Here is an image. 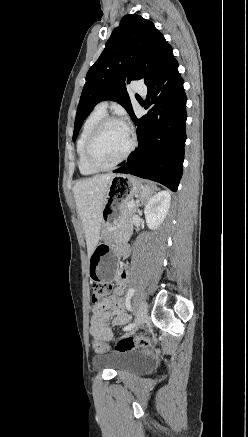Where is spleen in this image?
Wrapping results in <instances>:
<instances>
[{"mask_svg":"<svg viewBox=\"0 0 248 437\" xmlns=\"http://www.w3.org/2000/svg\"><path fill=\"white\" fill-rule=\"evenodd\" d=\"M144 191H145V192H144V194H143L142 197H141V200H142V201L147 200V199L150 197V195L147 194V192L150 191L149 186L146 185V186L144 187Z\"/></svg>","mask_w":248,"mask_h":437,"instance_id":"obj_1","label":"spleen"}]
</instances>
